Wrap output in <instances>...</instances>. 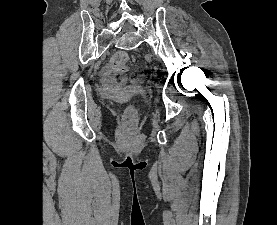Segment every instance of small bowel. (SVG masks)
I'll return each instance as SVG.
<instances>
[{
    "label": "small bowel",
    "mask_w": 277,
    "mask_h": 225,
    "mask_svg": "<svg viewBox=\"0 0 277 225\" xmlns=\"http://www.w3.org/2000/svg\"><path fill=\"white\" fill-rule=\"evenodd\" d=\"M104 79H105V82H106L107 86H110L113 82L112 76L109 75V74H106Z\"/></svg>",
    "instance_id": "1"
}]
</instances>
